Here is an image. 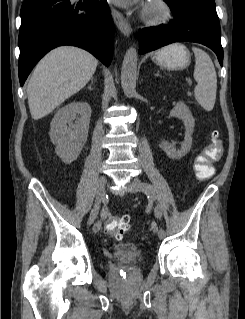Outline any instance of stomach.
<instances>
[{
  "mask_svg": "<svg viewBox=\"0 0 245 319\" xmlns=\"http://www.w3.org/2000/svg\"><path fill=\"white\" fill-rule=\"evenodd\" d=\"M152 59L166 69L181 70L189 65L190 53L183 44L175 43L155 52Z\"/></svg>",
  "mask_w": 245,
  "mask_h": 319,
  "instance_id": "1",
  "label": "stomach"
}]
</instances>
